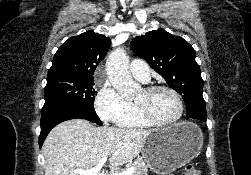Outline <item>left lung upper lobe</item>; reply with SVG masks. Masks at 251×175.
Wrapping results in <instances>:
<instances>
[{"label":"left lung upper lobe","instance_id":"obj_1","mask_svg":"<svg viewBox=\"0 0 251 175\" xmlns=\"http://www.w3.org/2000/svg\"><path fill=\"white\" fill-rule=\"evenodd\" d=\"M130 45L171 88L182 95L186 104L205 103L202 96L203 80L195 61V50L183 38L159 29L135 37Z\"/></svg>","mask_w":251,"mask_h":175}]
</instances>
